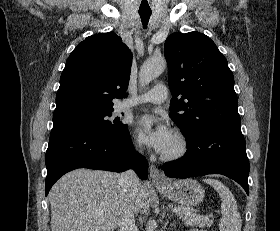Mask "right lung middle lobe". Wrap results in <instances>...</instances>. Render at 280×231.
Here are the masks:
<instances>
[{
  "label": "right lung middle lobe",
  "instance_id": "right-lung-middle-lobe-1",
  "mask_svg": "<svg viewBox=\"0 0 280 231\" xmlns=\"http://www.w3.org/2000/svg\"><path fill=\"white\" fill-rule=\"evenodd\" d=\"M111 112L53 123V129L76 127L101 134H119L127 128V125L119 122V120H114V123L107 120L106 117H110Z\"/></svg>",
  "mask_w": 280,
  "mask_h": 231
}]
</instances>
